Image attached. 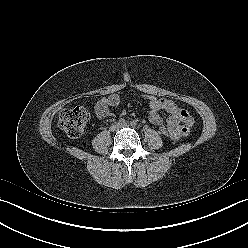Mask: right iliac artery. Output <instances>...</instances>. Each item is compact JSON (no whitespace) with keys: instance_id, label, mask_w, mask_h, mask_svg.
Returning <instances> with one entry per match:
<instances>
[{"instance_id":"obj_1","label":"right iliac artery","mask_w":248,"mask_h":248,"mask_svg":"<svg viewBox=\"0 0 248 248\" xmlns=\"http://www.w3.org/2000/svg\"><path fill=\"white\" fill-rule=\"evenodd\" d=\"M125 122H126V121H125L124 118H121V119H119V121H118L119 124H123V123H125Z\"/></svg>"}]
</instances>
